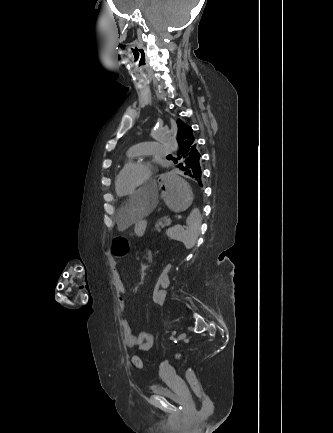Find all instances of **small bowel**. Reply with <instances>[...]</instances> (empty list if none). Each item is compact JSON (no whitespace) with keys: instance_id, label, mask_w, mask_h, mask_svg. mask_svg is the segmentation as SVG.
Masks as SVG:
<instances>
[{"instance_id":"c3829d8e","label":"small bowel","mask_w":333,"mask_h":433,"mask_svg":"<svg viewBox=\"0 0 333 433\" xmlns=\"http://www.w3.org/2000/svg\"><path fill=\"white\" fill-rule=\"evenodd\" d=\"M149 255L151 254L149 253ZM169 286H170V276L168 275L163 281V285L159 286L161 289L160 298L162 299V302L159 305H162L165 302L167 296V289L169 288ZM115 287L118 290V292L121 294L118 299V304L120 309L123 311L126 306V299L123 295L124 283L120 271H117L116 274ZM119 328H120L122 342L124 346H126L127 348H138L142 352H147L151 350V348L153 347V343H154L153 336L150 333L144 331L138 334L134 333L129 322L126 319L124 318L120 319Z\"/></svg>"}]
</instances>
